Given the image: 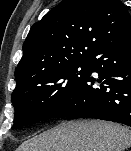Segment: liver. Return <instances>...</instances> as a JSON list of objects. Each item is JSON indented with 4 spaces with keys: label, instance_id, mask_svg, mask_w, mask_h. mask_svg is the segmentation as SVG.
Segmentation results:
<instances>
[{
    "label": "liver",
    "instance_id": "1",
    "mask_svg": "<svg viewBox=\"0 0 131 151\" xmlns=\"http://www.w3.org/2000/svg\"><path fill=\"white\" fill-rule=\"evenodd\" d=\"M131 146V131L119 124L69 121L26 142L17 151H124Z\"/></svg>",
    "mask_w": 131,
    "mask_h": 151
}]
</instances>
